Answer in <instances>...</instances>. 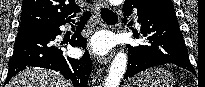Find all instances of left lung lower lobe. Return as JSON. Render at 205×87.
<instances>
[{"label": "left lung lower lobe", "instance_id": "left-lung-lower-lobe-1", "mask_svg": "<svg viewBox=\"0 0 205 87\" xmlns=\"http://www.w3.org/2000/svg\"><path fill=\"white\" fill-rule=\"evenodd\" d=\"M133 8L137 9L141 37H145L147 43L127 45L128 67L124 80L147 68L166 63L192 71L188 49L184 44L171 0L125 2L124 15L129 16ZM123 23H126V19ZM134 36L139 37L138 34Z\"/></svg>", "mask_w": 205, "mask_h": 87}]
</instances>
